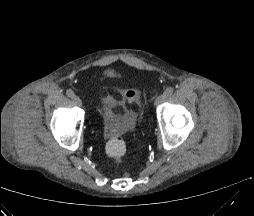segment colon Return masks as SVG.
<instances>
[{"instance_id": "colon-1", "label": "colon", "mask_w": 254, "mask_h": 216, "mask_svg": "<svg viewBox=\"0 0 254 216\" xmlns=\"http://www.w3.org/2000/svg\"><path fill=\"white\" fill-rule=\"evenodd\" d=\"M117 93L124 101L133 103L138 99L141 91L136 88H118ZM105 150L107 155L115 162H120L126 153V143L121 135L119 126L116 124L110 127V136L106 143Z\"/></svg>"}]
</instances>
